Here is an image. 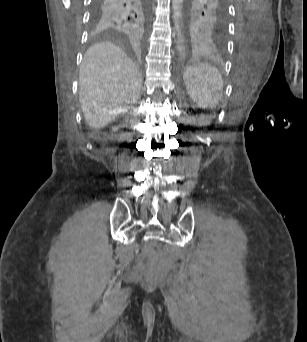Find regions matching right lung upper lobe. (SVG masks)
Listing matches in <instances>:
<instances>
[{
	"instance_id": "1",
	"label": "right lung upper lobe",
	"mask_w": 307,
	"mask_h": 342,
	"mask_svg": "<svg viewBox=\"0 0 307 342\" xmlns=\"http://www.w3.org/2000/svg\"><path fill=\"white\" fill-rule=\"evenodd\" d=\"M92 4L97 35L133 42L145 37L149 19L147 0H94Z\"/></svg>"
}]
</instances>
